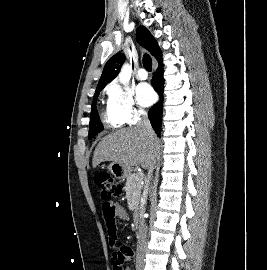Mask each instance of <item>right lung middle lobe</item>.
Masks as SVG:
<instances>
[{
	"label": "right lung middle lobe",
	"instance_id": "right-lung-middle-lobe-1",
	"mask_svg": "<svg viewBox=\"0 0 267 270\" xmlns=\"http://www.w3.org/2000/svg\"><path fill=\"white\" fill-rule=\"evenodd\" d=\"M100 92H95L92 102V109H91V117L89 123V135L88 138L92 139L96 136L99 132L103 130V125L99 119V115L96 108V101L97 97L99 96Z\"/></svg>",
	"mask_w": 267,
	"mask_h": 270
}]
</instances>
